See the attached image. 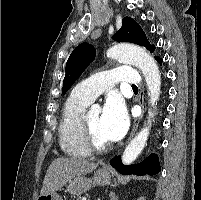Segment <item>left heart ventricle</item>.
<instances>
[{"mask_svg": "<svg viewBox=\"0 0 201 200\" xmlns=\"http://www.w3.org/2000/svg\"><path fill=\"white\" fill-rule=\"evenodd\" d=\"M87 124L91 130V133L94 137V139L101 143V144H106L109 143V141L105 138L102 128H101V114L100 113H95L88 115L86 117Z\"/></svg>", "mask_w": 201, "mask_h": 200, "instance_id": "b2bd125f", "label": "left heart ventricle"}]
</instances>
